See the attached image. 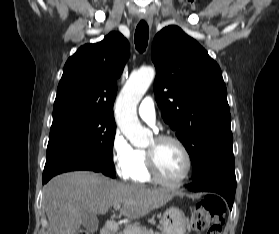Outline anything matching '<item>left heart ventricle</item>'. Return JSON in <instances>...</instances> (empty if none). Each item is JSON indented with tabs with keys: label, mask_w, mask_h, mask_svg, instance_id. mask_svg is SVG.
<instances>
[{
	"label": "left heart ventricle",
	"mask_w": 279,
	"mask_h": 234,
	"mask_svg": "<svg viewBox=\"0 0 279 234\" xmlns=\"http://www.w3.org/2000/svg\"><path fill=\"white\" fill-rule=\"evenodd\" d=\"M154 146V139L147 148ZM157 163L161 175L169 180H178L185 172L186 159L181 149L174 143L166 142L158 147Z\"/></svg>",
	"instance_id": "1"
}]
</instances>
